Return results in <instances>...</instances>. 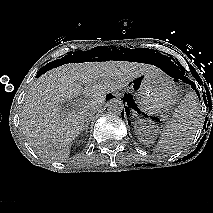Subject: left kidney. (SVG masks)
<instances>
[{
    "instance_id": "left-kidney-1",
    "label": "left kidney",
    "mask_w": 213,
    "mask_h": 213,
    "mask_svg": "<svg viewBox=\"0 0 213 213\" xmlns=\"http://www.w3.org/2000/svg\"><path fill=\"white\" fill-rule=\"evenodd\" d=\"M136 133L140 142L145 145L152 143V134L156 131L155 126L149 121L139 120L135 123Z\"/></svg>"
}]
</instances>
